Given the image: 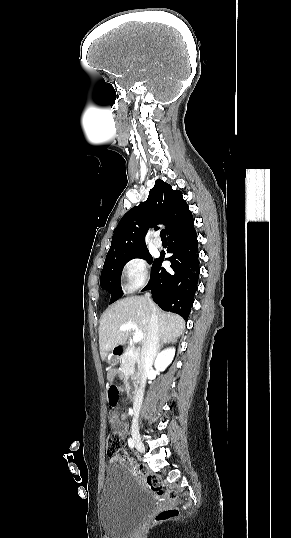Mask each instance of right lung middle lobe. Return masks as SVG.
Masks as SVG:
<instances>
[{
	"label": "right lung middle lobe",
	"mask_w": 291,
	"mask_h": 538,
	"mask_svg": "<svg viewBox=\"0 0 291 538\" xmlns=\"http://www.w3.org/2000/svg\"><path fill=\"white\" fill-rule=\"evenodd\" d=\"M134 258H142L149 263H152V265L155 262V260H152V256L149 254L147 248L105 260L103 270L101 272V286L110 292V304L118 300L123 295L120 285L122 269L128 261Z\"/></svg>",
	"instance_id": "1"
}]
</instances>
